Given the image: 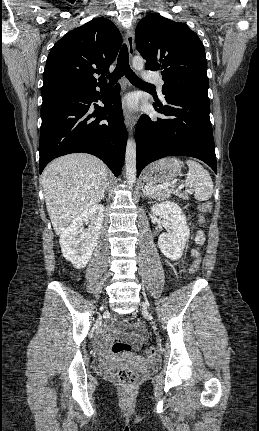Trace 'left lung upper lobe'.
<instances>
[{
    "instance_id": "5c2ea615",
    "label": "left lung upper lobe",
    "mask_w": 259,
    "mask_h": 431,
    "mask_svg": "<svg viewBox=\"0 0 259 431\" xmlns=\"http://www.w3.org/2000/svg\"><path fill=\"white\" fill-rule=\"evenodd\" d=\"M135 38L146 69L161 71L163 94L192 92L208 97L204 45L185 23L150 14L137 25Z\"/></svg>"
}]
</instances>
